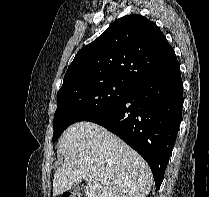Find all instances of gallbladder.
<instances>
[{"mask_svg":"<svg viewBox=\"0 0 209 197\" xmlns=\"http://www.w3.org/2000/svg\"><path fill=\"white\" fill-rule=\"evenodd\" d=\"M85 192H86V186L84 185V184H82V185H78V186H76L74 189H73V192H72V194L73 195H77V196H82L83 194H85Z\"/></svg>","mask_w":209,"mask_h":197,"instance_id":"1","label":"gallbladder"}]
</instances>
